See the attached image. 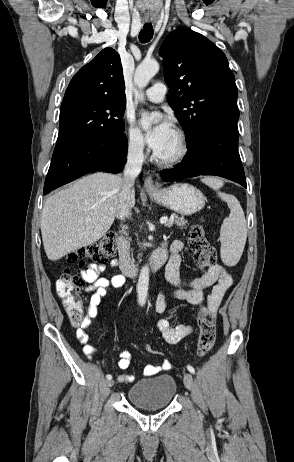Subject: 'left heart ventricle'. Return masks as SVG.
<instances>
[{
    "label": "left heart ventricle",
    "mask_w": 294,
    "mask_h": 462,
    "mask_svg": "<svg viewBox=\"0 0 294 462\" xmlns=\"http://www.w3.org/2000/svg\"><path fill=\"white\" fill-rule=\"evenodd\" d=\"M179 140L176 135L171 138V140L167 143L166 147L164 148L163 152L159 155L161 158H170L176 155L179 152Z\"/></svg>",
    "instance_id": "left-heart-ventricle-1"
}]
</instances>
